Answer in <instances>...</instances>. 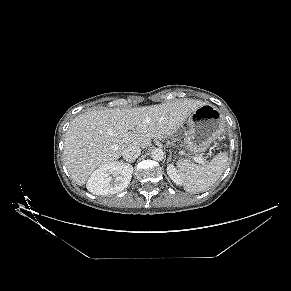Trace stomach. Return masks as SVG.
Returning <instances> with one entry per match:
<instances>
[{
	"mask_svg": "<svg viewBox=\"0 0 291 291\" xmlns=\"http://www.w3.org/2000/svg\"><path fill=\"white\" fill-rule=\"evenodd\" d=\"M184 142L190 151L204 152L224 131V119L211 104H204L193 111L187 121Z\"/></svg>",
	"mask_w": 291,
	"mask_h": 291,
	"instance_id": "0dacf381",
	"label": "stomach"
}]
</instances>
